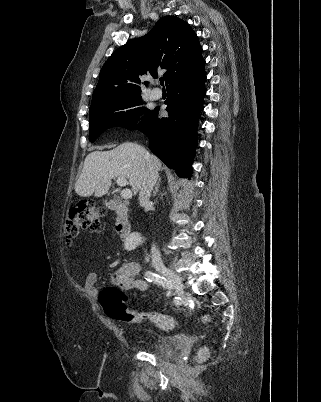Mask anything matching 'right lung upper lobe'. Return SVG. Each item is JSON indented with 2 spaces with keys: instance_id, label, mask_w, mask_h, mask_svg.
Masks as SVG:
<instances>
[{
  "instance_id": "right-lung-upper-lobe-1",
  "label": "right lung upper lobe",
  "mask_w": 321,
  "mask_h": 402,
  "mask_svg": "<svg viewBox=\"0 0 321 402\" xmlns=\"http://www.w3.org/2000/svg\"><path fill=\"white\" fill-rule=\"evenodd\" d=\"M203 64L202 47L190 25L165 16L145 36L129 40L113 52L101 69L91 107L141 93V77H155L159 69L167 70L163 75L167 86Z\"/></svg>"
}]
</instances>
